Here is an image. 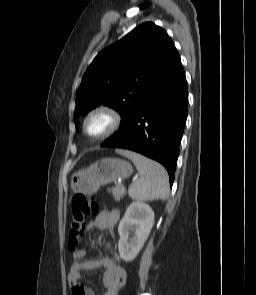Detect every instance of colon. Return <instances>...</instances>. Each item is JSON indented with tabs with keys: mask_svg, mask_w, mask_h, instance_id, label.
I'll list each match as a JSON object with an SVG mask.
<instances>
[{
	"mask_svg": "<svg viewBox=\"0 0 256 295\" xmlns=\"http://www.w3.org/2000/svg\"><path fill=\"white\" fill-rule=\"evenodd\" d=\"M99 211V204L94 196L77 194L72 198L71 218L68 230V245L76 250L81 243L85 223Z\"/></svg>",
	"mask_w": 256,
	"mask_h": 295,
	"instance_id": "colon-1",
	"label": "colon"
}]
</instances>
